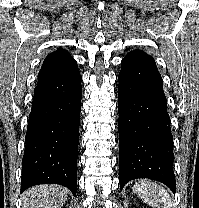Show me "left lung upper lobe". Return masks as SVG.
Listing matches in <instances>:
<instances>
[{
    "label": "left lung upper lobe",
    "mask_w": 199,
    "mask_h": 208,
    "mask_svg": "<svg viewBox=\"0 0 199 208\" xmlns=\"http://www.w3.org/2000/svg\"><path fill=\"white\" fill-rule=\"evenodd\" d=\"M127 55L139 57L143 61H145V62H147V63H149V64H151V65L156 67L154 59L151 56H149L148 54H146L145 52H143V51L134 50V51H131L130 53H128Z\"/></svg>",
    "instance_id": "1"
}]
</instances>
